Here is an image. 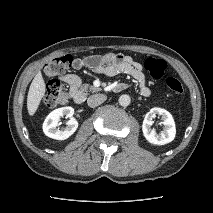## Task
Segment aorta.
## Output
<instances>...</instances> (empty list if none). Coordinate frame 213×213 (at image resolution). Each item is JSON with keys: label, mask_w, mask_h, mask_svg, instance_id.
<instances>
[{"label": "aorta", "mask_w": 213, "mask_h": 213, "mask_svg": "<svg viewBox=\"0 0 213 213\" xmlns=\"http://www.w3.org/2000/svg\"><path fill=\"white\" fill-rule=\"evenodd\" d=\"M118 101H119V104H120L121 106L126 107V106H128V105L130 104L131 98H130L129 95L123 94V95H121V96L119 97V100H118Z\"/></svg>", "instance_id": "obj_1"}]
</instances>
